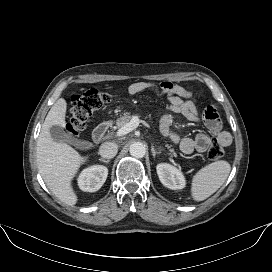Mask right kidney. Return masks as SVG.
I'll return each instance as SVG.
<instances>
[{
	"label": "right kidney",
	"mask_w": 272,
	"mask_h": 272,
	"mask_svg": "<svg viewBox=\"0 0 272 272\" xmlns=\"http://www.w3.org/2000/svg\"><path fill=\"white\" fill-rule=\"evenodd\" d=\"M107 175V167L101 165L91 166L81 172L78 178V185L83 191L96 192L106 181Z\"/></svg>",
	"instance_id": "1"
}]
</instances>
